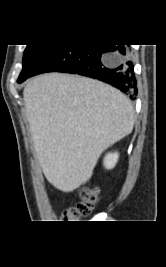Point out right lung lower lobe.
<instances>
[{"label":"right lung lower lobe","mask_w":166,"mask_h":267,"mask_svg":"<svg viewBox=\"0 0 166 267\" xmlns=\"http://www.w3.org/2000/svg\"><path fill=\"white\" fill-rule=\"evenodd\" d=\"M45 72L95 78L114 86L130 98L138 92L134 66L126 45H54L29 77Z\"/></svg>","instance_id":"right-lung-lower-lobe-1"}]
</instances>
